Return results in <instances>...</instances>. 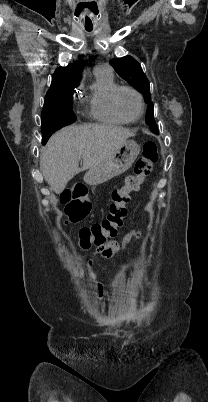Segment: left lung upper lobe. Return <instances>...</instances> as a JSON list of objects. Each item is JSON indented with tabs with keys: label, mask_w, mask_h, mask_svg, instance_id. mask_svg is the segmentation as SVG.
Here are the masks:
<instances>
[{
	"label": "left lung upper lobe",
	"mask_w": 208,
	"mask_h": 402,
	"mask_svg": "<svg viewBox=\"0 0 208 402\" xmlns=\"http://www.w3.org/2000/svg\"><path fill=\"white\" fill-rule=\"evenodd\" d=\"M110 64L123 79L143 93L146 103L149 104L147 123L151 131L158 134L159 131L153 115L154 107L151 102L150 85L140 64L131 56L112 59Z\"/></svg>",
	"instance_id": "1"
}]
</instances>
